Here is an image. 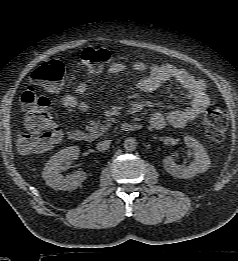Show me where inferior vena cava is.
Listing matches in <instances>:
<instances>
[{
	"instance_id": "602c4592",
	"label": "inferior vena cava",
	"mask_w": 238,
	"mask_h": 261,
	"mask_svg": "<svg viewBox=\"0 0 238 261\" xmlns=\"http://www.w3.org/2000/svg\"><path fill=\"white\" fill-rule=\"evenodd\" d=\"M111 141L110 140H105L101 141L97 144V150L98 151H105L109 148Z\"/></svg>"
}]
</instances>
